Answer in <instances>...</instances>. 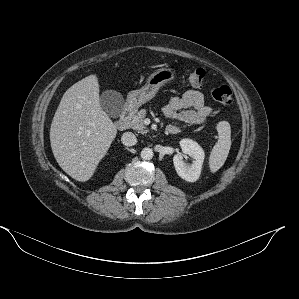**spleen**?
Wrapping results in <instances>:
<instances>
[{"label": "spleen", "instance_id": "1", "mask_svg": "<svg viewBox=\"0 0 299 299\" xmlns=\"http://www.w3.org/2000/svg\"><path fill=\"white\" fill-rule=\"evenodd\" d=\"M218 142L213 147L209 156L211 172L218 171L225 163L231 147V127L227 121L217 124Z\"/></svg>", "mask_w": 299, "mask_h": 299}]
</instances>
